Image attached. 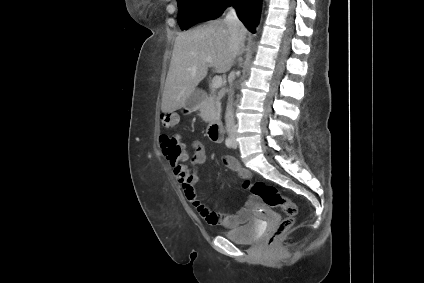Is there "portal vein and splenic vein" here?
Listing matches in <instances>:
<instances>
[{
	"label": "portal vein and splenic vein",
	"instance_id": "18ae733b",
	"mask_svg": "<svg viewBox=\"0 0 424 283\" xmlns=\"http://www.w3.org/2000/svg\"><path fill=\"white\" fill-rule=\"evenodd\" d=\"M221 86H222V77L220 75H215L212 79V90L215 91Z\"/></svg>",
	"mask_w": 424,
	"mask_h": 283
}]
</instances>
